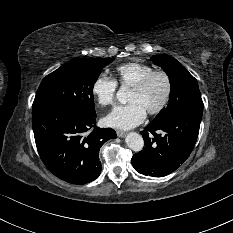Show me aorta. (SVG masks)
<instances>
[{"mask_svg":"<svg viewBox=\"0 0 233 233\" xmlns=\"http://www.w3.org/2000/svg\"><path fill=\"white\" fill-rule=\"evenodd\" d=\"M116 97L120 103H122V104L127 103V101H128V89L126 87L122 86L117 91ZM125 142H126L127 146L135 152L141 151L143 149V146H144L143 137L136 132L128 133V135L125 138Z\"/></svg>","mask_w":233,"mask_h":233,"instance_id":"762f6f07","label":"aorta"}]
</instances>
